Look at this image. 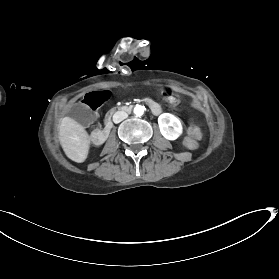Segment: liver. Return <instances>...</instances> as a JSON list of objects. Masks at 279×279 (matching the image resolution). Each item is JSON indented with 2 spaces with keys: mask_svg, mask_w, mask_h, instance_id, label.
<instances>
[{
  "mask_svg": "<svg viewBox=\"0 0 279 279\" xmlns=\"http://www.w3.org/2000/svg\"><path fill=\"white\" fill-rule=\"evenodd\" d=\"M59 140L66 156L77 163L87 158L90 140L81 124L64 117L59 127Z\"/></svg>",
  "mask_w": 279,
  "mask_h": 279,
  "instance_id": "liver-1",
  "label": "liver"
}]
</instances>
